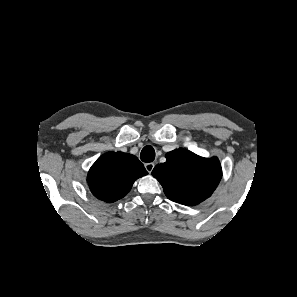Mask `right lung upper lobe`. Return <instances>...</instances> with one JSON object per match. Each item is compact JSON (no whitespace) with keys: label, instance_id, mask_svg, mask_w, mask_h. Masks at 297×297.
<instances>
[{"label":"right lung upper lobe","instance_id":"right-lung-upper-lobe-1","mask_svg":"<svg viewBox=\"0 0 297 297\" xmlns=\"http://www.w3.org/2000/svg\"><path fill=\"white\" fill-rule=\"evenodd\" d=\"M147 174L136 156L108 152L92 165L87 182L95 197L111 203L123 198L130 191L134 181Z\"/></svg>","mask_w":297,"mask_h":297}]
</instances>
